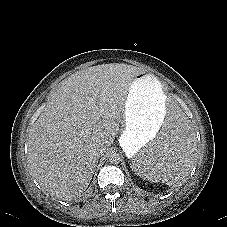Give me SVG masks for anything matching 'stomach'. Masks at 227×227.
<instances>
[{"mask_svg":"<svg viewBox=\"0 0 227 227\" xmlns=\"http://www.w3.org/2000/svg\"><path fill=\"white\" fill-rule=\"evenodd\" d=\"M166 111L167 97L159 80L147 72L136 75L126 100L120 140L128 158L163 128Z\"/></svg>","mask_w":227,"mask_h":227,"instance_id":"obj_1","label":"stomach"}]
</instances>
